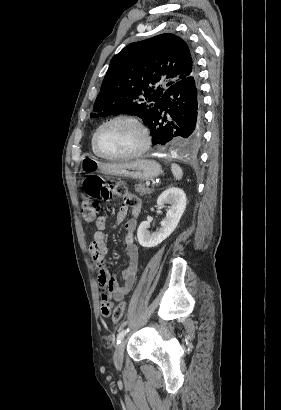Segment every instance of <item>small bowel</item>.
I'll return each instance as SVG.
<instances>
[{
	"label": "small bowel",
	"mask_w": 281,
	"mask_h": 410,
	"mask_svg": "<svg viewBox=\"0 0 281 410\" xmlns=\"http://www.w3.org/2000/svg\"><path fill=\"white\" fill-rule=\"evenodd\" d=\"M140 209L139 199L134 195L127 194L123 198L117 215V219L121 220L129 210L133 214V218L125 224V245L128 261L121 271L122 282L111 275L106 263L108 252L106 245V217L100 215L95 221L96 231L93 234L90 245V254L98 269V282L103 287L101 292V313L104 317L109 316L113 302L124 298L134 286L139 259L138 248L134 242V232L137 226L136 217L139 215ZM104 308L108 310L107 313L103 312Z\"/></svg>",
	"instance_id": "1"
}]
</instances>
